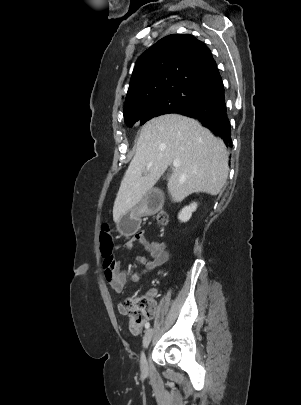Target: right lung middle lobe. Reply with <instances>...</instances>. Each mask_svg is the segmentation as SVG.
Returning a JSON list of instances; mask_svg holds the SVG:
<instances>
[{
	"label": "right lung middle lobe",
	"mask_w": 301,
	"mask_h": 405,
	"mask_svg": "<svg viewBox=\"0 0 301 405\" xmlns=\"http://www.w3.org/2000/svg\"><path fill=\"white\" fill-rule=\"evenodd\" d=\"M208 95L200 90L181 87L148 96L142 99L135 108L124 114L125 123L129 127L136 122L142 125L153 117L172 113L177 108L197 103Z\"/></svg>",
	"instance_id": "right-lung-middle-lobe-1"
}]
</instances>
